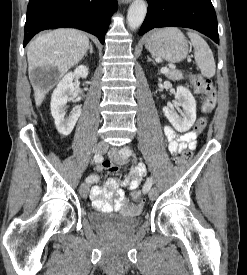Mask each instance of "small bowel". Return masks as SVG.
<instances>
[{"mask_svg":"<svg viewBox=\"0 0 247 275\" xmlns=\"http://www.w3.org/2000/svg\"><path fill=\"white\" fill-rule=\"evenodd\" d=\"M164 134L168 141V149L172 155H176L186 149H194L196 145L197 135L193 131L178 134L171 126L164 127ZM105 168H97V170ZM106 170V169H105ZM117 168L107 170L115 172ZM145 174L142 165H138L130 172V177L122 180L110 178L103 186H94L91 189L90 201L97 210L111 211L114 208L129 213L139 212L141 204L136 202H128L126 198L125 188L135 190L139 187L141 180ZM114 200V205L111 203Z\"/></svg>","mask_w":247,"mask_h":275,"instance_id":"obj_1","label":"small bowel"}]
</instances>
